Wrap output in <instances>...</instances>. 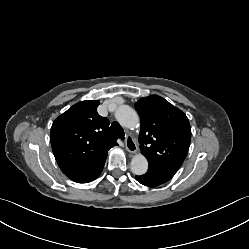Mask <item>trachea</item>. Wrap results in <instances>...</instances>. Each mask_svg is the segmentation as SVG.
I'll list each match as a JSON object with an SVG mask.
<instances>
[{
	"label": "trachea",
	"mask_w": 249,
	"mask_h": 249,
	"mask_svg": "<svg viewBox=\"0 0 249 249\" xmlns=\"http://www.w3.org/2000/svg\"><path fill=\"white\" fill-rule=\"evenodd\" d=\"M109 131L120 139H124L125 133L123 131V128L117 122H113L111 124Z\"/></svg>",
	"instance_id": "1"
}]
</instances>
